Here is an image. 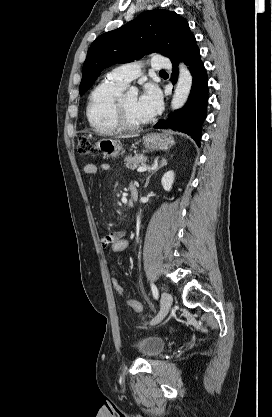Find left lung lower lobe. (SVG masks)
Here are the masks:
<instances>
[{
  "instance_id": "1",
  "label": "left lung lower lobe",
  "mask_w": 272,
  "mask_h": 417,
  "mask_svg": "<svg viewBox=\"0 0 272 417\" xmlns=\"http://www.w3.org/2000/svg\"><path fill=\"white\" fill-rule=\"evenodd\" d=\"M193 76V84L186 105L181 110H176L169 115L167 120H160L154 128L172 129L190 135L200 145L201 126L206 118L208 104V78L201 61L198 46L194 48L184 59ZM178 62L173 63L171 81L177 82Z\"/></svg>"
}]
</instances>
